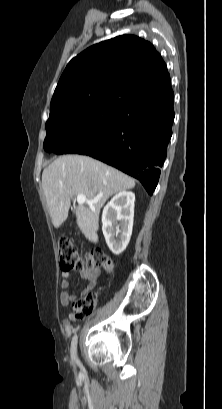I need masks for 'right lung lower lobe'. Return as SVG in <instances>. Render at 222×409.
I'll return each mask as SVG.
<instances>
[{
    "label": "right lung lower lobe",
    "mask_w": 222,
    "mask_h": 409,
    "mask_svg": "<svg viewBox=\"0 0 222 409\" xmlns=\"http://www.w3.org/2000/svg\"><path fill=\"white\" fill-rule=\"evenodd\" d=\"M165 80L171 82L169 74ZM173 102L170 88L162 95L119 104L102 145L87 155L140 180L152 195L172 136Z\"/></svg>",
    "instance_id": "obj_1"
}]
</instances>
